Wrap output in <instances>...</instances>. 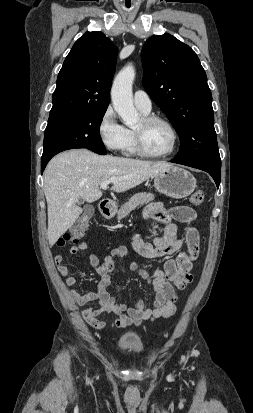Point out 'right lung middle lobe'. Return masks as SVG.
Segmentation results:
<instances>
[{"label": "right lung middle lobe", "mask_w": 253, "mask_h": 413, "mask_svg": "<svg viewBox=\"0 0 253 413\" xmlns=\"http://www.w3.org/2000/svg\"><path fill=\"white\" fill-rule=\"evenodd\" d=\"M106 110L70 111L50 115L44 133L42 156L69 147H104L99 129Z\"/></svg>", "instance_id": "right-lung-middle-lobe-1"}]
</instances>
